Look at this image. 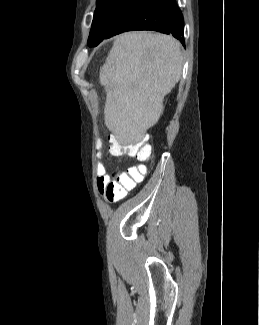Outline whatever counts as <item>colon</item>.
<instances>
[{
	"mask_svg": "<svg viewBox=\"0 0 259 325\" xmlns=\"http://www.w3.org/2000/svg\"><path fill=\"white\" fill-rule=\"evenodd\" d=\"M100 143H98V147ZM111 152L114 155H128L139 160L146 161L151 157V145L148 140H140L128 144H121L112 140ZM146 172L144 165L129 168L124 171H114L99 187L101 193L109 201H117L125 197L127 192L142 181Z\"/></svg>",
	"mask_w": 259,
	"mask_h": 325,
	"instance_id": "1",
	"label": "colon"
}]
</instances>
